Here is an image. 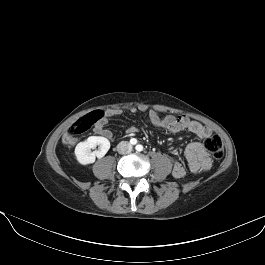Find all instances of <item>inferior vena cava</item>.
Here are the masks:
<instances>
[{
    "label": "inferior vena cava",
    "instance_id": "inferior-vena-cava-1",
    "mask_svg": "<svg viewBox=\"0 0 265 265\" xmlns=\"http://www.w3.org/2000/svg\"><path fill=\"white\" fill-rule=\"evenodd\" d=\"M117 151L119 154H128L132 151V145L127 141H121L117 145Z\"/></svg>",
    "mask_w": 265,
    "mask_h": 265
}]
</instances>
